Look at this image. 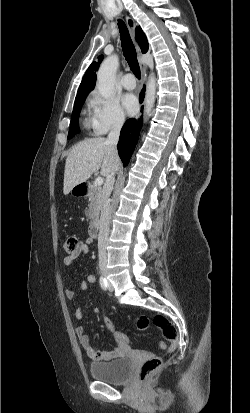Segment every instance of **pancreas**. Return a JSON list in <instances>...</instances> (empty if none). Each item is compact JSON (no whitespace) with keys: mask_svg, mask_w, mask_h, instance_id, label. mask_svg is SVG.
Returning a JSON list of instances; mask_svg holds the SVG:
<instances>
[{"mask_svg":"<svg viewBox=\"0 0 250 413\" xmlns=\"http://www.w3.org/2000/svg\"><path fill=\"white\" fill-rule=\"evenodd\" d=\"M89 204L86 208L85 215L90 224L94 225L99 219V213L102 204V190L95 184L89 188Z\"/></svg>","mask_w":250,"mask_h":413,"instance_id":"pancreas-1","label":"pancreas"}]
</instances>
